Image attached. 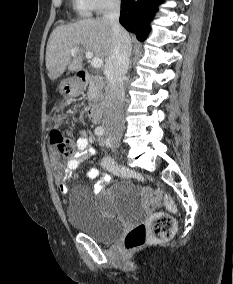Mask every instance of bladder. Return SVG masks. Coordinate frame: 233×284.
Here are the masks:
<instances>
[{
    "label": "bladder",
    "mask_w": 233,
    "mask_h": 284,
    "mask_svg": "<svg viewBox=\"0 0 233 284\" xmlns=\"http://www.w3.org/2000/svg\"><path fill=\"white\" fill-rule=\"evenodd\" d=\"M139 190L128 181H120L102 197L105 204L129 207L136 205ZM67 217L70 225L101 243H110L122 230V223L104 215L96 198L84 188H74L68 196Z\"/></svg>",
    "instance_id": "bladder-1"
}]
</instances>
